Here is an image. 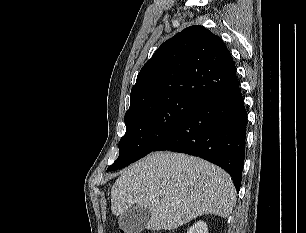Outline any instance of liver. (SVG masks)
Wrapping results in <instances>:
<instances>
[{"instance_id": "6515ba94", "label": "liver", "mask_w": 306, "mask_h": 233, "mask_svg": "<svg viewBox=\"0 0 306 233\" xmlns=\"http://www.w3.org/2000/svg\"><path fill=\"white\" fill-rule=\"evenodd\" d=\"M236 190L229 174L201 158L154 152L125 169L111 189V210L151 212L147 229L172 230L203 214L230 215Z\"/></svg>"}]
</instances>
